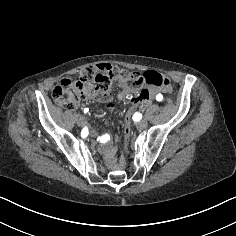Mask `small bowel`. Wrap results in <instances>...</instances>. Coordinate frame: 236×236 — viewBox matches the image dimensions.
Here are the masks:
<instances>
[{"label":"small bowel","mask_w":236,"mask_h":236,"mask_svg":"<svg viewBox=\"0 0 236 236\" xmlns=\"http://www.w3.org/2000/svg\"><path fill=\"white\" fill-rule=\"evenodd\" d=\"M122 89L118 94V99L124 100L127 99L131 95H135V97L130 98V101H132L134 98H136L140 93L141 90V84H127L126 82L121 81ZM169 87H165L164 91H168ZM153 91H148L147 96L141 101L143 107H148L151 104V95ZM103 99L107 103V106L109 108H112L113 103L111 101V97L108 94L103 95ZM77 122L79 125L84 126L86 125L85 119L81 115H77ZM99 142V151L103 155V159L105 162V165L112 171H118L121 170L124 167L125 161L123 158L117 159L116 157V150H117V142L118 137L111 136L109 134H103L98 137Z\"/></svg>","instance_id":"small-bowel-1"}]
</instances>
